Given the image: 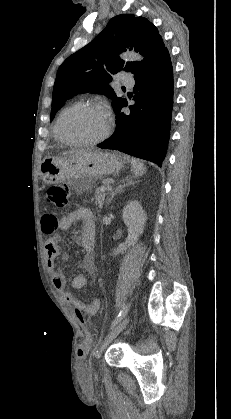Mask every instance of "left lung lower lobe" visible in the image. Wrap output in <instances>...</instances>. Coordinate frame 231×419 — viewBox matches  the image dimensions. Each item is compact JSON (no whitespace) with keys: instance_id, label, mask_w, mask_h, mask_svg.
I'll use <instances>...</instances> for the list:
<instances>
[{"instance_id":"0a47b994","label":"left lung lower lobe","mask_w":231,"mask_h":419,"mask_svg":"<svg viewBox=\"0 0 231 419\" xmlns=\"http://www.w3.org/2000/svg\"><path fill=\"white\" fill-rule=\"evenodd\" d=\"M133 100L130 113L116 114V129L100 148L115 149L152 161L161 166L169 141L173 108V70L168 50L147 70L134 77Z\"/></svg>"}]
</instances>
